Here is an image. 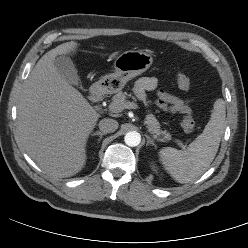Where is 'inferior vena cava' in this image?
I'll return each mask as SVG.
<instances>
[{
    "label": "inferior vena cava",
    "mask_w": 248,
    "mask_h": 248,
    "mask_svg": "<svg viewBox=\"0 0 248 248\" xmlns=\"http://www.w3.org/2000/svg\"><path fill=\"white\" fill-rule=\"evenodd\" d=\"M98 126L104 133H111L118 128V122L114 119L104 118L99 122Z\"/></svg>",
    "instance_id": "1"
}]
</instances>
